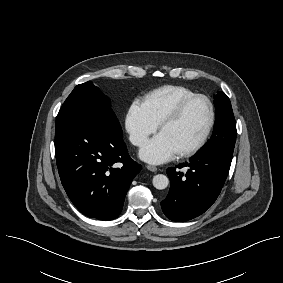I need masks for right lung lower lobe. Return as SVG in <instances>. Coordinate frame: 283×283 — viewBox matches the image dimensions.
I'll use <instances>...</instances> for the list:
<instances>
[{
  "mask_svg": "<svg viewBox=\"0 0 283 283\" xmlns=\"http://www.w3.org/2000/svg\"><path fill=\"white\" fill-rule=\"evenodd\" d=\"M55 155L62 185L80 212L118 217L142 167L129 156L115 114L81 115L57 126Z\"/></svg>",
  "mask_w": 283,
  "mask_h": 283,
  "instance_id": "obj_1",
  "label": "right lung lower lobe"
}]
</instances>
